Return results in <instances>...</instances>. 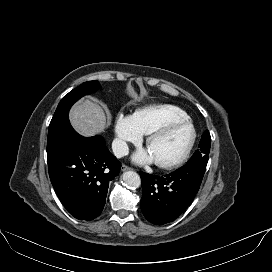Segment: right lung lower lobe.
<instances>
[{
	"instance_id": "obj_1",
	"label": "right lung lower lobe",
	"mask_w": 272,
	"mask_h": 272,
	"mask_svg": "<svg viewBox=\"0 0 272 272\" xmlns=\"http://www.w3.org/2000/svg\"><path fill=\"white\" fill-rule=\"evenodd\" d=\"M47 159L51 183L67 211L79 220L98 217L109 182L121 167L104 139L83 137L71 127L61 142L47 151Z\"/></svg>"
}]
</instances>
